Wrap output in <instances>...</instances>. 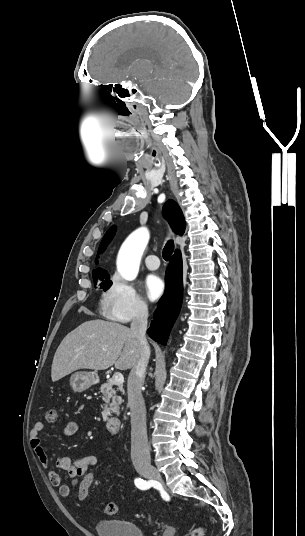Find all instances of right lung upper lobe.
I'll use <instances>...</instances> for the list:
<instances>
[{"label": "right lung upper lobe", "mask_w": 305, "mask_h": 536, "mask_svg": "<svg viewBox=\"0 0 305 536\" xmlns=\"http://www.w3.org/2000/svg\"><path fill=\"white\" fill-rule=\"evenodd\" d=\"M163 214L164 216L166 217V219L168 220V222L170 223L171 227L173 228L174 232L176 234H179V235H182L185 231V220H184V216L182 214V211L180 209V207L178 206V204L173 201V200H168L164 207H163ZM114 232H115V227L112 226L105 234L100 246H99V250H98V254L102 253L106 246L109 244V242L111 241L113 235H114ZM180 251L179 250H176L175 253H179ZM99 256L96 257V264H98V258ZM93 277L94 279H101V278H107L109 277V274L105 271V270H102L101 268H98L96 270L93 271Z\"/></svg>", "instance_id": "1"}]
</instances>
